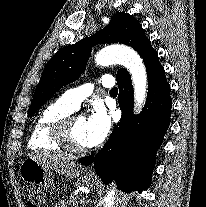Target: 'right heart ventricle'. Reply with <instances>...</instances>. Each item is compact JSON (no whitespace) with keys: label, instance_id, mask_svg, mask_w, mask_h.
<instances>
[{"label":"right heart ventricle","instance_id":"right-heart-ventricle-1","mask_svg":"<svg viewBox=\"0 0 206 207\" xmlns=\"http://www.w3.org/2000/svg\"><path fill=\"white\" fill-rule=\"evenodd\" d=\"M73 111L63 98L47 104L34 121L28 140L29 148L34 151L61 152L62 150L54 142L52 128L57 121L70 115Z\"/></svg>","mask_w":206,"mask_h":207}]
</instances>
